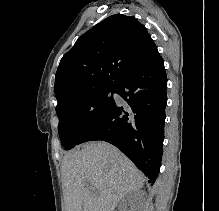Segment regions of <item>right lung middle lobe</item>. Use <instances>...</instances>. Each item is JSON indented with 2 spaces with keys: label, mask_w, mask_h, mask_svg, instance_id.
Wrapping results in <instances>:
<instances>
[{
  "label": "right lung middle lobe",
  "mask_w": 219,
  "mask_h": 211,
  "mask_svg": "<svg viewBox=\"0 0 219 211\" xmlns=\"http://www.w3.org/2000/svg\"><path fill=\"white\" fill-rule=\"evenodd\" d=\"M110 93H115V87L95 89L57 105L59 136L67 150L78 145L82 135L109 111L115 102Z\"/></svg>",
  "instance_id": "dd1d6c3e"
}]
</instances>
